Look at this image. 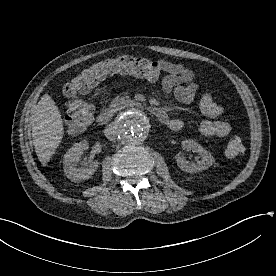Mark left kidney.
I'll return each instance as SVG.
<instances>
[{"label": "left kidney", "instance_id": "1", "mask_svg": "<svg viewBox=\"0 0 276 276\" xmlns=\"http://www.w3.org/2000/svg\"><path fill=\"white\" fill-rule=\"evenodd\" d=\"M182 148L186 150H192L200 155L201 159L196 162H190L185 160L181 153L177 154L176 162L178 167L188 173H196L202 170L208 169L213 163L214 158L207 150H205L200 144L194 140H184L182 142Z\"/></svg>", "mask_w": 276, "mask_h": 276}]
</instances>
